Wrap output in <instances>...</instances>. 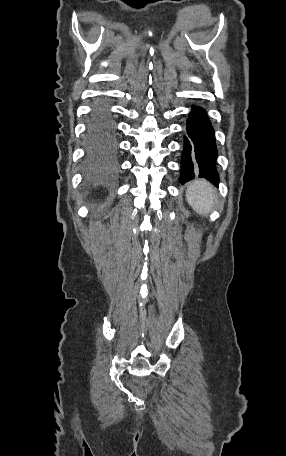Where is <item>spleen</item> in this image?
I'll return each mask as SVG.
<instances>
[{
	"instance_id": "3e777b00",
	"label": "spleen",
	"mask_w": 286,
	"mask_h": 456,
	"mask_svg": "<svg viewBox=\"0 0 286 456\" xmlns=\"http://www.w3.org/2000/svg\"><path fill=\"white\" fill-rule=\"evenodd\" d=\"M186 197L189 205L200 215H207L217 202L215 188L203 179L189 184Z\"/></svg>"
}]
</instances>
